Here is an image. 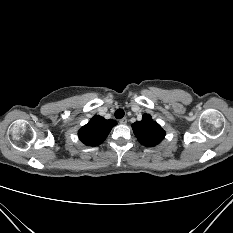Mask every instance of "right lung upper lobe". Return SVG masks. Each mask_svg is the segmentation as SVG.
I'll return each mask as SVG.
<instances>
[{
	"mask_svg": "<svg viewBox=\"0 0 233 233\" xmlns=\"http://www.w3.org/2000/svg\"><path fill=\"white\" fill-rule=\"evenodd\" d=\"M116 124L117 122L113 119L106 120L95 115L85 126L81 127L78 137L87 146H97L105 140Z\"/></svg>",
	"mask_w": 233,
	"mask_h": 233,
	"instance_id": "1",
	"label": "right lung upper lobe"
}]
</instances>
